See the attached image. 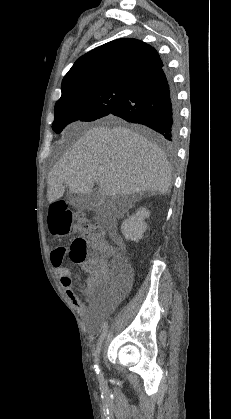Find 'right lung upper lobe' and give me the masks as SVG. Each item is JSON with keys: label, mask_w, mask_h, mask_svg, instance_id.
Returning a JSON list of instances; mask_svg holds the SVG:
<instances>
[{"label": "right lung upper lobe", "mask_w": 231, "mask_h": 419, "mask_svg": "<svg viewBox=\"0 0 231 419\" xmlns=\"http://www.w3.org/2000/svg\"><path fill=\"white\" fill-rule=\"evenodd\" d=\"M162 65L157 51L147 43L130 38L108 42L76 60L62 81V96L58 101L85 88L132 87Z\"/></svg>", "instance_id": "obj_1"}]
</instances>
